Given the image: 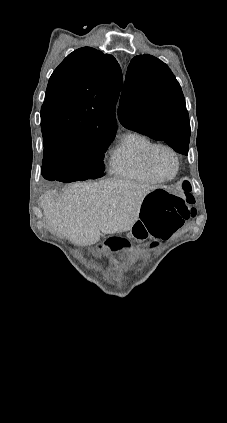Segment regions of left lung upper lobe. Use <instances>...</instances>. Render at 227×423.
Here are the masks:
<instances>
[{"label":"left lung upper lobe","instance_id":"5c2ea615","mask_svg":"<svg viewBox=\"0 0 227 423\" xmlns=\"http://www.w3.org/2000/svg\"><path fill=\"white\" fill-rule=\"evenodd\" d=\"M118 117L125 127L172 148L189 144L190 121L181 87L169 67L154 56L131 60Z\"/></svg>","mask_w":227,"mask_h":423}]
</instances>
